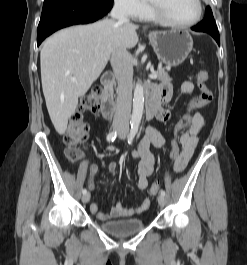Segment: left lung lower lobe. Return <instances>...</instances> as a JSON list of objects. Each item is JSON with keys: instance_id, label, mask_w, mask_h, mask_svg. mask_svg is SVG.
<instances>
[{"instance_id": "0a47b994", "label": "left lung lower lobe", "mask_w": 247, "mask_h": 265, "mask_svg": "<svg viewBox=\"0 0 247 265\" xmlns=\"http://www.w3.org/2000/svg\"><path fill=\"white\" fill-rule=\"evenodd\" d=\"M192 30L210 34L220 45L219 32L212 15V11L209 7L206 9L205 18L203 19V21H201L198 25L192 27Z\"/></svg>"}]
</instances>
